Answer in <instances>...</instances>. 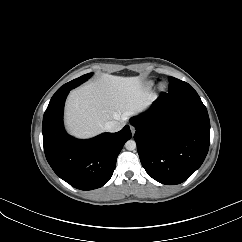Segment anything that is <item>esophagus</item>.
Instances as JSON below:
<instances>
[{"label": "esophagus", "instance_id": "34e87169", "mask_svg": "<svg viewBox=\"0 0 242 242\" xmlns=\"http://www.w3.org/2000/svg\"><path fill=\"white\" fill-rule=\"evenodd\" d=\"M130 129H131L132 134L134 135V133H135V128H134L133 126H130Z\"/></svg>", "mask_w": 242, "mask_h": 242}]
</instances>
